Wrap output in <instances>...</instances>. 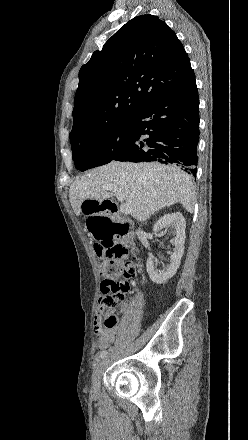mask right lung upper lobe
<instances>
[{"mask_svg": "<svg viewBox=\"0 0 248 440\" xmlns=\"http://www.w3.org/2000/svg\"><path fill=\"white\" fill-rule=\"evenodd\" d=\"M195 82L174 31L157 16L122 26L79 72L71 140L100 135L130 120L148 102Z\"/></svg>", "mask_w": 248, "mask_h": 440, "instance_id": "1", "label": "right lung upper lobe"}]
</instances>
